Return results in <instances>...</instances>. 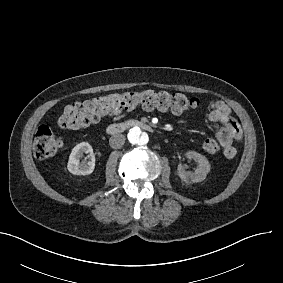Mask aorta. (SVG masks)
<instances>
[{"label": "aorta", "mask_w": 283, "mask_h": 283, "mask_svg": "<svg viewBox=\"0 0 283 283\" xmlns=\"http://www.w3.org/2000/svg\"><path fill=\"white\" fill-rule=\"evenodd\" d=\"M127 138L129 142L136 146H145L149 142V135L139 127H133L129 130Z\"/></svg>", "instance_id": "1"}]
</instances>
